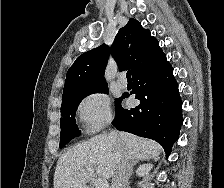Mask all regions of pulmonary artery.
Returning <instances> with one entry per match:
<instances>
[{"instance_id":"obj_1","label":"pulmonary artery","mask_w":224,"mask_h":188,"mask_svg":"<svg viewBox=\"0 0 224 188\" xmlns=\"http://www.w3.org/2000/svg\"><path fill=\"white\" fill-rule=\"evenodd\" d=\"M117 85L124 89L127 87V79H126V76L125 74H120L117 78Z\"/></svg>"}]
</instances>
